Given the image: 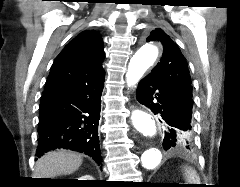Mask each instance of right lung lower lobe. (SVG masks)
I'll list each match as a JSON object with an SVG mask.
<instances>
[{
	"label": "right lung lower lobe",
	"mask_w": 240,
	"mask_h": 187,
	"mask_svg": "<svg viewBox=\"0 0 240 187\" xmlns=\"http://www.w3.org/2000/svg\"><path fill=\"white\" fill-rule=\"evenodd\" d=\"M104 74L43 94L36 156L57 149L84 152L101 163L98 125Z\"/></svg>",
	"instance_id": "98d812e1"
}]
</instances>
